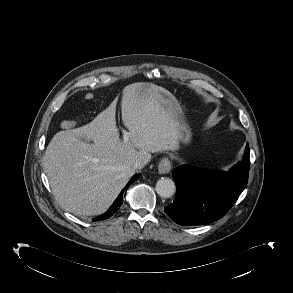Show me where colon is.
<instances>
[{
  "mask_svg": "<svg viewBox=\"0 0 293 293\" xmlns=\"http://www.w3.org/2000/svg\"><path fill=\"white\" fill-rule=\"evenodd\" d=\"M85 99L87 101H91L94 99V94L91 92L86 93L85 95ZM76 125L75 121H71V120H65L61 123V126L63 129H71Z\"/></svg>",
  "mask_w": 293,
  "mask_h": 293,
  "instance_id": "obj_1",
  "label": "colon"
}]
</instances>
